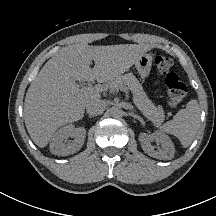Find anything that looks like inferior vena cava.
<instances>
[{
  "label": "inferior vena cava",
  "mask_w": 216,
  "mask_h": 216,
  "mask_svg": "<svg viewBox=\"0 0 216 216\" xmlns=\"http://www.w3.org/2000/svg\"><path fill=\"white\" fill-rule=\"evenodd\" d=\"M105 110V104L102 100L93 99L86 105V111L89 116H97Z\"/></svg>",
  "instance_id": "inferior-vena-cava-1"
}]
</instances>
